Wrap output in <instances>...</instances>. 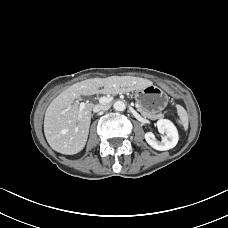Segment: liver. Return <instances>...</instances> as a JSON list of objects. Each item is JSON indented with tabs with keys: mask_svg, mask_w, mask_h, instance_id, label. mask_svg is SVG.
<instances>
[{
	"mask_svg": "<svg viewBox=\"0 0 228 228\" xmlns=\"http://www.w3.org/2000/svg\"><path fill=\"white\" fill-rule=\"evenodd\" d=\"M152 81L132 76L92 78L75 83L60 93L48 106L44 117V134L50 147L66 155L79 153L87 142L93 103H86L79 118L80 96L118 94L152 85ZM100 87H104L101 91Z\"/></svg>",
	"mask_w": 228,
	"mask_h": 228,
	"instance_id": "6515ba94",
	"label": "liver"
}]
</instances>
